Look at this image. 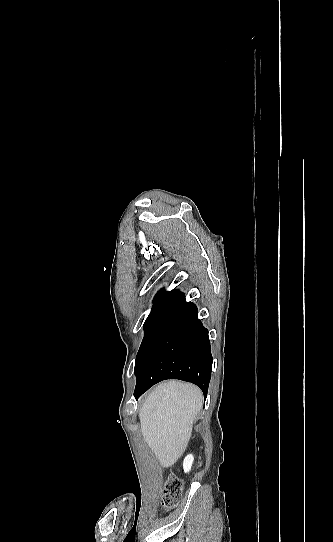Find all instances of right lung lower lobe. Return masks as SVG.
I'll list each match as a JSON object with an SVG mask.
<instances>
[{
	"mask_svg": "<svg viewBox=\"0 0 333 542\" xmlns=\"http://www.w3.org/2000/svg\"><path fill=\"white\" fill-rule=\"evenodd\" d=\"M208 330L197 307L173 290L151 312L135 362L136 399L165 379L196 384L207 395L212 362Z\"/></svg>",
	"mask_w": 333,
	"mask_h": 542,
	"instance_id": "obj_1",
	"label": "right lung lower lobe"
}]
</instances>
